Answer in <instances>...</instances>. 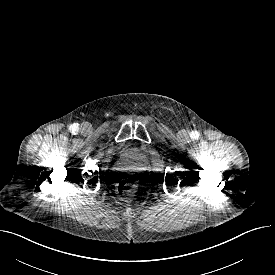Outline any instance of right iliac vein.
Returning a JSON list of instances; mask_svg holds the SVG:
<instances>
[{
  "mask_svg": "<svg viewBox=\"0 0 275 275\" xmlns=\"http://www.w3.org/2000/svg\"><path fill=\"white\" fill-rule=\"evenodd\" d=\"M83 130H84V131H87V130H88V125H84V126H83Z\"/></svg>",
  "mask_w": 275,
  "mask_h": 275,
  "instance_id": "1",
  "label": "right iliac vein"
}]
</instances>
